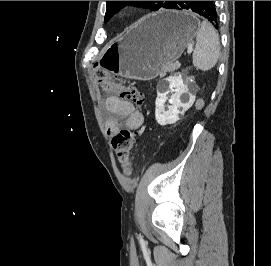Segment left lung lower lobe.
<instances>
[{"label":"left lung lower lobe","mask_w":271,"mask_h":266,"mask_svg":"<svg viewBox=\"0 0 271 266\" xmlns=\"http://www.w3.org/2000/svg\"><path fill=\"white\" fill-rule=\"evenodd\" d=\"M166 8L178 10L189 9L200 14L215 28H218L219 18L214 1H171Z\"/></svg>","instance_id":"0a47b994"}]
</instances>
